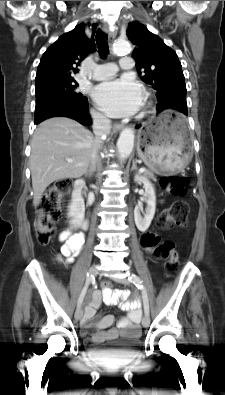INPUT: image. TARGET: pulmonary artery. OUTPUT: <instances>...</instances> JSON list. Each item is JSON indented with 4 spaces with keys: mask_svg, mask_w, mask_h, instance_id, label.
Segmentation results:
<instances>
[{
    "mask_svg": "<svg viewBox=\"0 0 225 395\" xmlns=\"http://www.w3.org/2000/svg\"><path fill=\"white\" fill-rule=\"evenodd\" d=\"M119 66L122 69L129 70L134 66L131 57H123L119 61ZM118 71V66L115 63H105L97 65L93 71L92 77L95 80H105L113 76Z\"/></svg>",
    "mask_w": 225,
    "mask_h": 395,
    "instance_id": "obj_1",
    "label": "pulmonary artery"
}]
</instances>
